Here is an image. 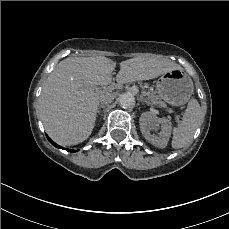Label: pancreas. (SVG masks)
Listing matches in <instances>:
<instances>
[{
  "label": "pancreas",
  "instance_id": "obj_1",
  "mask_svg": "<svg viewBox=\"0 0 229 229\" xmlns=\"http://www.w3.org/2000/svg\"><path fill=\"white\" fill-rule=\"evenodd\" d=\"M142 95L146 97L145 102L151 105H159L167 109V104L159 99L156 95L155 91L149 85H146L144 88Z\"/></svg>",
  "mask_w": 229,
  "mask_h": 229
}]
</instances>
